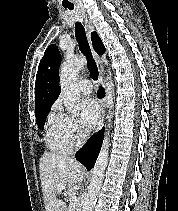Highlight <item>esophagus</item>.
Masks as SVG:
<instances>
[{
  "mask_svg": "<svg viewBox=\"0 0 178 211\" xmlns=\"http://www.w3.org/2000/svg\"><path fill=\"white\" fill-rule=\"evenodd\" d=\"M83 18H84V23H85V30L87 34V38L90 44L91 52L93 54V57L97 63L98 70H99V83L103 84L104 82V69L103 65L101 63V57L96 53V51L93 48L92 42H91V32L94 29L93 23L87 13L83 12ZM105 112H106V99L102 98L100 100V116L98 120V126H97V131H99L104 123V117H105Z\"/></svg>",
  "mask_w": 178,
  "mask_h": 211,
  "instance_id": "1",
  "label": "esophagus"
}]
</instances>
